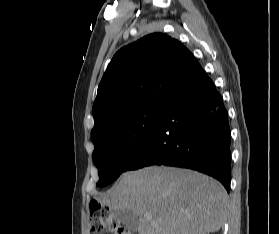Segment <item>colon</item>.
<instances>
[{"mask_svg": "<svg viewBox=\"0 0 279 234\" xmlns=\"http://www.w3.org/2000/svg\"><path fill=\"white\" fill-rule=\"evenodd\" d=\"M90 230L91 234H132L115 218L113 213L97 202L90 204Z\"/></svg>", "mask_w": 279, "mask_h": 234, "instance_id": "colon-1", "label": "colon"}]
</instances>
